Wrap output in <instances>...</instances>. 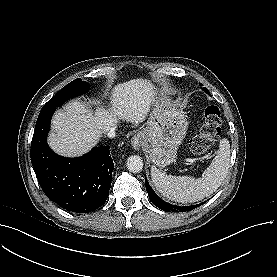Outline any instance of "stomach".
Returning <instances> with one entry per match:
<instances>
[{"label": "stomach", "instance_id": "1", "mask_svg": "<svg viewBox=\"0 0 277 277\" xmlns=\"http://www.w3.org/2000/svg\"><path fill=\"white\" fill-rule=\"evenodd\" d=\"M146 127L140 131L149 160L158 167L172 163L186 136L188 122L178 104L166 96L153 102Z\"/></svg>", "mask_w": 277, "mask_h": 277}]
</instances>
